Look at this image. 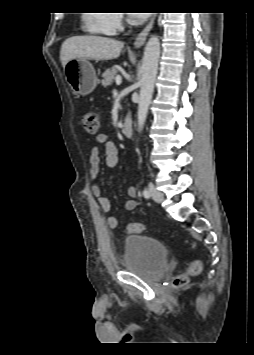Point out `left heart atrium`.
Instances as JSON below:
<instances>
[{
    "label": "left heart atrium",
    "instance_id": "obj_1",
    "mask_svg": "<svg viewBox=\"0 0 254 355\" xmlns=\"http://www.w3.org/2000/svg\"><path fill=\"white\" fill-rule=\"evenodd\" d=\"M130 22L132 24H141L143 23L146 18H147V13H130Z\"/></svg>",
    "mask_w": 254,
    "mask_h": 355
}]
</instances>
